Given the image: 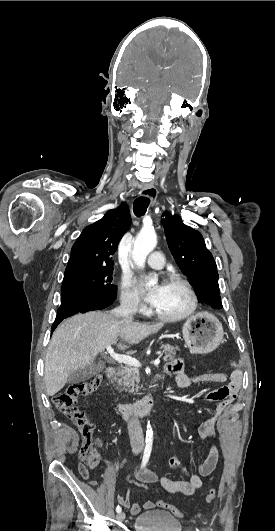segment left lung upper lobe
<instances>
[{
	"label": "left lung upper lobe",
	"mask_w": 275,
	"mask_h": 531,
	"mask_svg": "<svg viewBox=\"0 0 275 531\" xmlns=\"http://www.w3.org/2000/svg\"><path fill=\"white\" fill-rule=\"evenodd\" d=\"M162 221L169 249L182 270L191 281L200 303L221 309L216 262L206 248L199 231L185 225L182 219L164 212Z\"/></svg>",
	"instance_id": "5c2ea615"
}]
</instances>
